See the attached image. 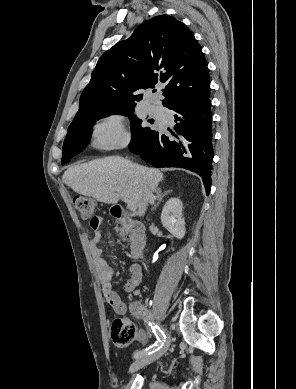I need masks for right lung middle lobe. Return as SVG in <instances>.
Segmentation results:
<instances>
[{"label":"right lung middle lobe","instance_id":"dd1d6c3e","mask_svg":"<svg viewBox=\"0 0 296 389\" xmlns=\"http://www.w3.org/2000/svg\"><path fill=\"white\" fill-rule=\"evenodd\" d=\"M134 106H120L108 108L90 109L78 117H75L68 128L62 149V164L68 162L74 155L81 152L90 139L91 127L99 119L111 114L129 116L131 120L132 140L129 148L139 150L146 145L155 133L150 127L137 118L134 114Z\"/></svg>","mask_w":296,"mask_h":389}]
</instances>
